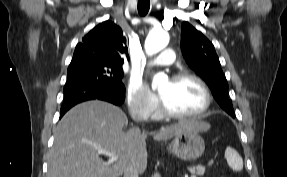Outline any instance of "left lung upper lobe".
<instances>
[{
  "mask_svg": "<svg viewBox=\"0 0 287 177\" xmlns=\"http://www.w3.org/2000/svg\"><path fill=\"white\" fill-rule=\"evenodd\" d=\"M181 50L188 65L208 84L218 104L232 117L228 84L213 44L188 22L182 23Z\"/></svg>",
  "mask_w": 287,
  "mask_h": 177,
  "instance_id": "5c2ea615",
  "label": "left lung upper lobe"
}]
</instances>
